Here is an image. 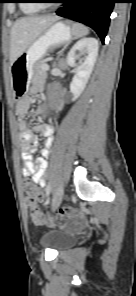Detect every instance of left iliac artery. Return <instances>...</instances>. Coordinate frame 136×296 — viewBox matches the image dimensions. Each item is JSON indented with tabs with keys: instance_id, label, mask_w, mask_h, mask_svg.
Instances as JSON below:
<instances>
[{
	"instance_id": "1",
	"label": "left iliac artery",
	"mask_w": 136,
	"mask_h": 296,
	"mask_svg": "<svg viewBox=\"0 0 136 296\" xmlns=\"http://www.w3.org/2000/svg\"><path fill=\"white\" fill-rule=\"evenodd\" d=\"M50 188H51V185L50 184H47V188H46V197H49L50 196ZM48 203V201L46 202Z\"/></svg>"
}]
</instances>
